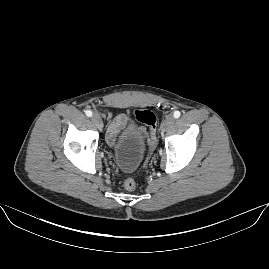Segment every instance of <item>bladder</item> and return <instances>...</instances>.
Segmentation results:
<instances>
[{"instance_id": "bladder-1", "label": "bladder", "mask_w": 269, "mask_h": 269, "mask_svg": "<svg viewBox=\"0 0 269 269\" xmlns=\"http://www.w3.org/2000/svg\"><path fill=\"white\" fill-rule=\"evenodd\" d=\"M145 143L138 134L136 127L131 126L125 130L117 143L113 155L117 166L124 172L137 170L145 157Z\"/></svg>"}]
</instances>
